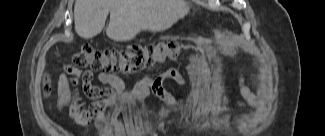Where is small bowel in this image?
Listing matches in <instances>:
<instances>
[{
	"instance_id": "obj_1",
	"label": "small bowel",
	"mask_w": 325,
	"mask_h": 136,
	"mask_svg": "<svg viewBox=\"0 0 325 136\" xmlns=\"http://www.w3.org/2000/svg\"><path fill=\"white\" fill-rule=\"evenodd\" d=\"M93 73L89 70H80L70 64L64 67V73L57 80L58 98H63L62 107H67L70 117L79 125L89 128V122L94 118V126L100 130L104 129L106 108L117 101L130 104L140 99L151 88L152 91L167 105L172 107L180 106L184 103V98H177L164 87V82L173 80L178 84H185L187 76L177 70L169 69L155 78L144 77L142 82L133 90H126L121 78L114 74L101 72L98 75L100 82L111 87L109 90L101 91L92 84ZM238 89L242 100L248 105L255 107L258 104V94L251 90L246 82L244 72L238 76ZM78 85L82 86L85 95L89 98H96L105 95L102 101L87 107L79 96Z\"/></svg>"
}]
</instances>
